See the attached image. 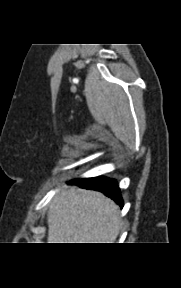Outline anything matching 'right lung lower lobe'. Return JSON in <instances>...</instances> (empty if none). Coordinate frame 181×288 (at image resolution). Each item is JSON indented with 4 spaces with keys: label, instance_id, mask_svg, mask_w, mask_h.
<instances>
[{
    "label": "right lung lower lobe",
    "instance_id": "1",
    "mask_svg": "<svg viewBox=\"0 0 181 288\" xmlns=\"http://www.w3.org/2000/svg\"><path fill=\"white\" fill-rule=\"evenodd\" d=\"M74 183L80 187L90 190H96L104 193L106 196L114 200L120 207H123V199L120 194V189L115 180L106 177H92L77 179Z\"/></svg>",
    "mask_w": 181,
    "mask_h": 288
}]
</instances>
